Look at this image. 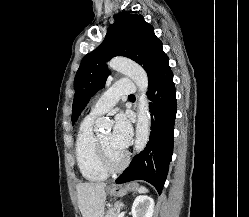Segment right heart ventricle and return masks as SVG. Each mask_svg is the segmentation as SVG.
<instances>
[{
    "mask_svg": "<svg viewBox=\"0 0 249 217\" xmlns=\"http://www.w3.org/2000/svg\"><path fill=\"white\" fill-rule=\"evenodd\" d=\"M93 116H86L80 123L75 141V157L82 176L93 182L103 181L108 171L102 165L97 136L93 132Z\"/></svg>",
    "mask_w": 249,
    "mask_h": 217,
    "instance_id": "1",
    "label": "right heart ventricle"
}]
</instances>
